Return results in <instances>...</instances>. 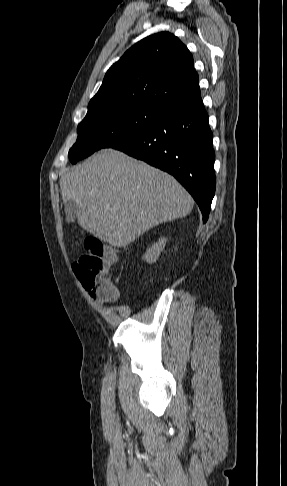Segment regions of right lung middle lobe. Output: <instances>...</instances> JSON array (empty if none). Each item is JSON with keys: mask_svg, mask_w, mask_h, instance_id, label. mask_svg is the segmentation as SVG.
<instances>
[{"mask_svg": "<svg viewBox=\"0 0 287 486\" xmlns=\"http://www.w3.org/2000/svg\"><path fill=\"white\" fill-rule=\"evenodd\" d=\"M167 108L150 102H120L88 108L78 125V138L69 151L74 164L102 148L131 140L151 126Z\"/></svg>", "mask_w": 287, "mask_h": 486, "instance_id": "1", "label": "right lung middle lobe"}]
</instances>
